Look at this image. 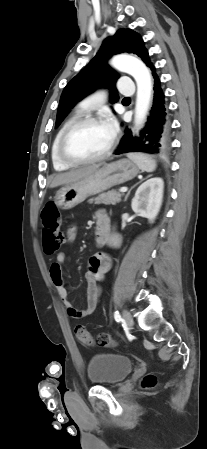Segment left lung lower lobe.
Wrapping results in <instances>:
<instances>
[{
  "instance_id": "left-lung-lower-lobe-1",
  "label": "left lung lower lobe",
  "mask_w": 207,
  "mask_h": 449,
  "mask_svg": "<svg viewBox=\"0 0 207 449\" xmlns=\"http://www.w3.org/2000/svg\"><path fill=\"white\" fill-rule=\"evenodd\" d=\"M148 67L154 80V96L150 116L145 127L139 132L138 137H133L131 131L125 130V135L115 153L117 155L127 152L157 154L167 151L170 121L165 95L155 66L150 63Z\"/></svg>"
}]
</instances>
